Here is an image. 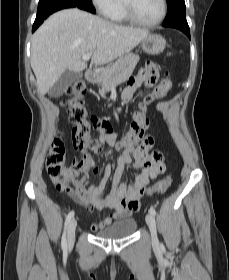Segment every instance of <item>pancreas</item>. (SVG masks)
Listing matches in <instances>:
<instances>
[{
  "mask_svg": "<svg viewBox=\"0 0 229 280\" xmlns=\"http://www.w3.org/2000/svg\"><path fill=\"white\" fill-rule=\"evenodd\" d=\"M138 61V55L129 53L103 69L98 77V82L101 85L100 93L104 96L112 85L120 84L125 81V79L132 74Z\"/></svg>",
  "mask_w": 229,
  "mask_h": 280,
  "instance_id": "cf45deb5",
  "label": "pancreas"
}]
</instances>
